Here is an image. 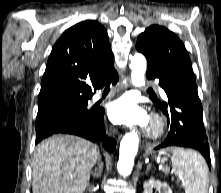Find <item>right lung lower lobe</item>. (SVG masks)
<instances>
[{
    "label": "right lung lower lobe",
    "mask_w": 221,
    "mask_h": 193,
    "mask_svg": "<svg viewBox=\"0 0 221 193\" xmlns=\"http://www.w3.org/2000/svg\"><path fill=\"white\" fill-rule=\"evenodd\" d=\"M117 81H118V74L117 72H114L110 76L107 77L103 86L109 85L111 83L116 84ZM95 110L96 112H95L94 118L89 124H83V125L73 124V125L62 127L54 131L37 134L36 144L40 142L42 139L48 136H51L53 134L66 133V134H73V135L81 136L92 142H95L97 140H104L103 146L105 147V149L109 152H113L116 146V142L115 140L108 138V136L105 134L104 109L98 108Z\"/></svg>",
    "instance_id": "1"
}]
</instances>
